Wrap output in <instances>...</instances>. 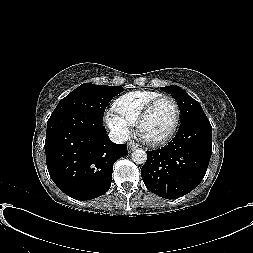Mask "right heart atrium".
<instances>
[{
    "label": "right heart atrium",
    "mask_w": 253,
    "mask_h": 253,
    "mask_svg": "<svg viewBox=\"0 0 253 253\" xmlns=\"http://www.w3.org/2000/svg\"><path fill=\"white\" fill-rule=\"evenodd\" d=\"M105 122L117 139L125 141L130 137L131 125L118 115L114 109L106 112Z\"/></svg>",
    "instance_id": "right-heart-atrium-1"
}]
</instances>
